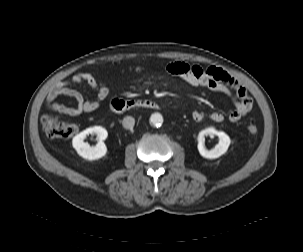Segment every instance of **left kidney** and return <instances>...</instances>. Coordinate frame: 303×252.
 <instances>
[{
    "mask_svg": "<svg viewBox=\"0 0 303 252\" xmlns=\"http://www.w3.org/2000/svg\"><path fill=\"white\" fill-rule=\"evenodd\" d=\"M207 134H213V135H217L219 137L218 144L212 150H207L203 144V137H204V135H207ZM230 143H231V140L225 132L218 131L212 127L202 130L198 135L199 153L201 154V156H203L204 158H207V159H216V158L220 157L221 155H223L228 150Z\"/></svg>",
    "mask_w": 303,
    "mask_h": 252,
    "instance_id": "5707ae66",
    "label": "left kidney"
}]
</instances>
